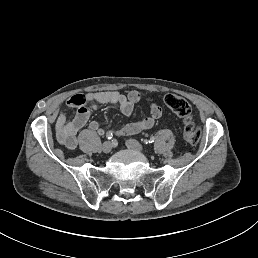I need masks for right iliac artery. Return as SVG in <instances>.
<instances>
[{
	"label": "right iliac artery",
	"instance_id": "82829eb1",
	"mask_svg": "<svg viewBox=\"0 0 258 258\" xmlns=\"http://www.w3.org/2000/svg\"><path fill=\"white\" fill-rule=\"evenodd\" d=\"M113 138V132L112 131H108L106 134V139L107 140H111Z\"/></svg>",
	"mask_w": 258,
	"mask_h": 258
}]
</instances>
